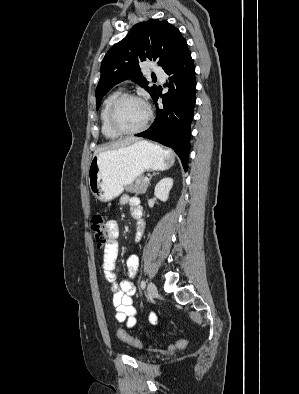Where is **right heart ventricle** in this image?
<instances>
[{"mask_svg":"<svg viewBox=\"0 0 299 394\" xmlns=\"http://www.w3.org/2000/svg\"><path fill=\"white\" fill-rule=\"evenodd\" d=\"M120 95V91H113L106 96L102 103L101 111H100V122H101V131L102 134L108 139H116L119 135L115 133L108 124V109L112 103V101Z\"/></svg>","mask_w":299,"mask_h":394,"instance_id":"1","label":"right heart ventricle"}]
</instances>
